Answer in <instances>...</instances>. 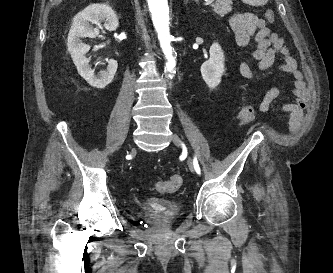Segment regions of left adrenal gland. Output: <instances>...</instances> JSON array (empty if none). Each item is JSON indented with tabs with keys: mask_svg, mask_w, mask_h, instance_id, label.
Listing matches in <instances>:
<instances>
[{
	"mask_svg": "<svg viewBox=\"0 0 333 273\" xmlns=\"http://www.w3.org/2000/svg\"><path fill=\"white\" fill-rule=\"evenodd\" d=\"M184 1L188 2L189 0H184ZM195 1H197V0H195Z\"/></svg>",
	"mask_w": 333,
	"mask_h": 273,
	"instance_id": "obj_1",
	"label": "left adrenal gland"
}]
</instances>
